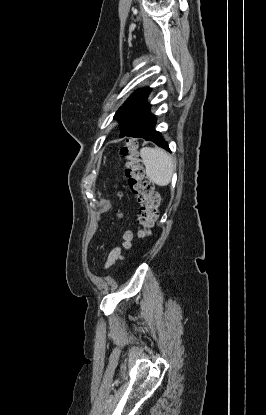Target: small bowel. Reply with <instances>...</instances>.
<instances>
[{
    "instance_id": "small-bowel-1",
    "label": "small bowel",
    "mask_w": 266,
    "mask_h": 415,
    "mask_svg": "<svg viewBox=\"0 0 266 415\" xmlns=\"http://www.w3.org/2000/svg\"><path fill=\"white\" fill-rule=\"evenodd\" d=\"M131 240H132V233L130 231H127L124 234V243L123 248L128 249L131 246ZM122 258V251L121 248H115L111 251L109 254V257L107 259V262L105 263V268H108L111 266L115 261Z\"/></svg>"
}]
</instances>
